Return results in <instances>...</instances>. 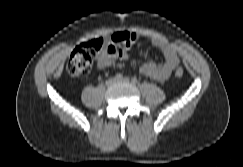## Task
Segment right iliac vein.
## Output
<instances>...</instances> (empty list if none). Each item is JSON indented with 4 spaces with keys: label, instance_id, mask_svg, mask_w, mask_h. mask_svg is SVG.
<instances>
[{
    "label": "right iliac vein",
    "instance_id": "63e3f726",
    "mask_svg": "<svg viewBox=\"0 0 243 167\" xmlns=\"http://www.w3.org/2000/svg\"><path fill=\"white\" fill-rule=\"evenodd\" d=\"M116 83V79L115 78H110V79H108L107 81H106V85L107 86H111V85H113V84H115Z\"/></svg>",
    "mask_w": 243,
    "mask_h": 167
}]
</instances>
